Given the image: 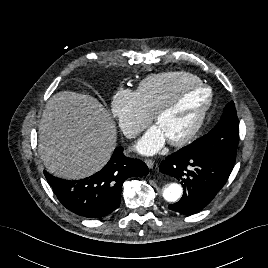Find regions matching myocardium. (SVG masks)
<instances>
[{
  "label": "myocardium",
  "instance_id": "obj_1",
  "mask_svg": "<svg viewBox=\"0 0 268 268\" xmlns=\"http://www.w3.org/2000/svg\"><path fill=\"white\" fill-rule=\"evenodd\" d=\"M190 89H200L205 90L207 92V97L203 102L198 115L192 124V126L179 138L169 139L168 142L172 146L180 147L190 143L201 130L208 111L210 110L213 102V92L212 90L205 84L198 83H190L184 86H181L155 113H154V121L157 124L161 118L171 112L177 105L180 100L181 94L190 90Z\"/></svg>",
  "mask_w": 268,
  "mask_h": 268
}]
</instances>
